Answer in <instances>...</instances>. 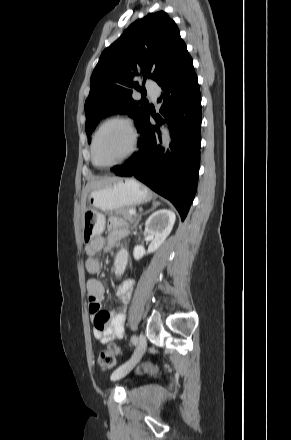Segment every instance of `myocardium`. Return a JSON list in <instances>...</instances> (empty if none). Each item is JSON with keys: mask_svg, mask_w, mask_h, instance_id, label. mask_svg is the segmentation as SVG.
Here are the masks:
<instances>
[{"mask_svg": "<svg viewBox=\"0 0 291 440\" xmlns=\"http://www.w3.org/2000/svg\"><path fill=\"white\" fill-rule=\"evenodd\" d=\"M112 124H121L122 126H124L127 129L128 133L130 135L129 149H128L127 153L118 161L107 163V164H98L96 162V160H95V147H96L97 138H98L100 132L104 128H106L107 126L112 125ZM137 143H138V134H137V131H136V129H135V127H134V125H133V123H132V121L130 119H128L126 117H123V116H113V117H110V118L104 120L98 126V128L96 129V131L93 134L92 143H91V160H92V163L96 167H99V168H113V167H116V166L124 163L126 160H128L133 155V153L136 150Z\"/></svg>", "mask_w": 291, "mask_h": 440, "instance_id": "f54148a6", "label": "myocardium"}]
</instances>
